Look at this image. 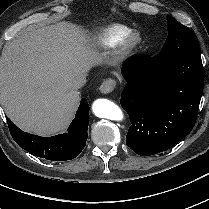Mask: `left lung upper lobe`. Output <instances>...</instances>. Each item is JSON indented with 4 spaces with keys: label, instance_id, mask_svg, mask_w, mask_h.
<instances>
[{
    "label": "left lung upper lobe",
    "instance_id": "1",
    "mask_svg": "<svg viewBox=\"0 0 209 209\" xmlns=\"http://www.w3.org/2000/svg\"><path fill=\"white\" fill-rule=\"evenodd\" d=\"M168 38L160 51L154 58L168 59L189 50L198 49L199 44L191 30L180 24L174 18L167 17Z\"/></svg>",
    "mask_w": 209,
    "mask_h": 209
}]
</instances>
